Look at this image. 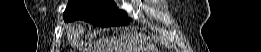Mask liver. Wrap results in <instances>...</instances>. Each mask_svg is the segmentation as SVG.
I'll list each match as a JSON object with an SVG mask.
<instances>
[{
  "label": "liver",
  "instance_id": "obj_1",
  "mask_svg": "<svg viewBox=\"0 0 261 52\" xmlns=\"http://www.w3.org/2000/svg\"><path fill=\"white\" fill-rule=\"evenodd\" d=\"M83 35H84V29H83V27L81 25H77L76 24V25L72 26V28L70 30V36L73 39V41L75 42V45L82 46V44H83V40H82ZM103 41H107V40H105V39L99 40L96 43V47L98 48V44H100ZM96 47H95V50H96Z\"/></svg>",
  "mask_w": 261,
  "mask_h": 52
}]
</instances>
